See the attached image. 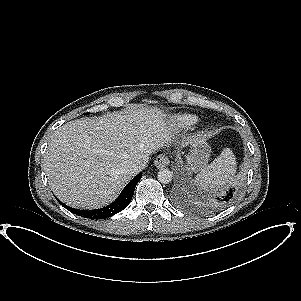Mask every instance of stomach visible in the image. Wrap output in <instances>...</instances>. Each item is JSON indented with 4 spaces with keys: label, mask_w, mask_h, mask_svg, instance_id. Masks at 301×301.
Segmentation results:
<instances>
[{
    "label": "stomach",
    "mask_w": 301,
    "mask_h": 301,
    "mask_svg": "<svg viewBox=\"0 0 301 301\" xmlns=\"http://www.w3.org/2000/svg\"><path fill=\"white\" fill-rule=\"evenodd\" d=\"M210 156V147L203 139H197L191 143L190 155L187 156L189 170L198 171L204 168Z\"/></svg>",
    "instance_id": "stomach-1"
}]
</instances>
